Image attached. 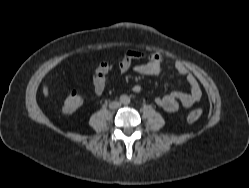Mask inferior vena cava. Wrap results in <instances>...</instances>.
<instances>
[{
	"label": "inferior vena cava",
	"mask_w": 249,
	"mask_h": 188,
	"mask_svg": "<svg viewBox=\"0 0 249 188\" xmlns=\"http://www.w3.org/2000/svg\"><path fill=\"white\" fill-rule=\"evenodd\" d=\"M120 105H121L120 103H114V104H111L110 107L116 108V107H119Z\"/></svg>",
	"instance_id": "1"
}]
</instances>
